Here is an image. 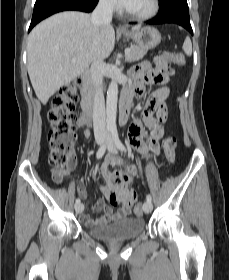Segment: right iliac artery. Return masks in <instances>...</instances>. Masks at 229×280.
Wrapping results in <instances>:
<instances>
[{
	"label": "right iliac artery",
	"mask_w": 229,
	"mask_h": 280,
	"mask_svg": "<svg viewBox=\"0 0 229 280\" xmlns=\"http://www.w3.org/2000/svg\"><path fill=\"white\" fill-rule=\"evenodd\" d=\"M108 140L105 142V144H103L97 151L96 157L97 159L102 158V156L105 154L106 151V146H107ZM81 201L79 198L76 199V204H80Z\"/></svg>",
	"instance_id": "obj_1"
}]
</instances>
